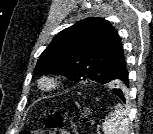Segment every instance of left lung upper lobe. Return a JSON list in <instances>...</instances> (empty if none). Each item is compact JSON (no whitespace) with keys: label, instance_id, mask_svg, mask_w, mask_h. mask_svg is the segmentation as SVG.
I'll use <instances>...</instances> for the list:
<instances>
[{"label":"left lung upper lobe","instance_id":"1","mask_svg":"<svg viewBox=\"0 0 153 134\" xmlns=\"http://www.w3.org/2000/svg\"><path fill=\"white\" fill-rule=\"evenodd\" d=\"M125 68L118 32L102 18H87L58 33L43 51L35 74L55 73L74 81L108 83L124 93L119 79Z\"/></svg>","mask_w":153,"mask_h":134}]
</instances>
